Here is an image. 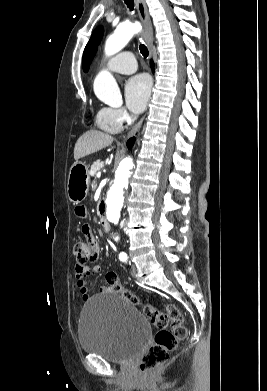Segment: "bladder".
Here are the masks:
<instances>
[{
  "mask_svg": "<svg viewBox=\"0 0 267 391\" xmlns=\"http://www.w3.org/2000/svg\"><path fill=\"white\" fill-rule=\"evenodd\" d=\"M149 332L141 312L116 293L92 298L81 311L79 342L82 351L111 362L126 363L137 356Z\"/></svg>",
  "mask_w": 267,
  "mask_h": 391,
  "instance_id": "31cf9c89",
  "label": "bladder"
}]
</instances>
